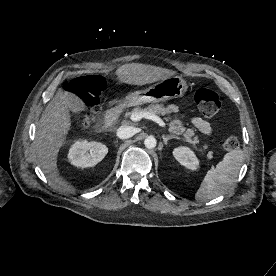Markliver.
<instances>
[{
    "mask_svg": "<svg viewBox=\"0 0 276 276\" xmlns=\"http://www.w3.org/2000/svg\"><path fill=\"white\" fill-rule=\"evenodd\" d=\"M175 74V71L140 63H130L119 67L116 75L121 83L145 85ZM72 93L58 89L55 96L47 104L39 124L35 139V152L38 163L49 180L64 191L74 188L58 174L57 157L60 148L65 144L71 130V114L69 102Z\"/></svg>",
    "mask_w": 276,
    "mask_h": 276,
    "instance_id": "6515ba94",
    "label": "liver"
}]
</instances>
